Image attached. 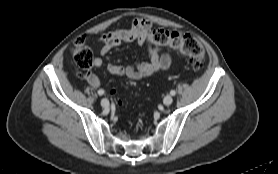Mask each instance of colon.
<instances>
[{"mask_svg": "<svg viewBox=\"0 0 278 174\" xmlns=\"http://www.w3.org/2000/svg\"><path fill=\"white\" fill-rule=\"evenodd\" d=\"M150 40L156 45L167 46L189 57L194 69L204 65L205 50L200 41L190 34L154 29L150 32ZM71 53L75 64L84 70L89 69L93 63V54L84 38L75 40Z\"/></svg>", "mask_w": 278, "mask_h": 174, "instance_id": "1", "label": "colon"}]
</instances>
